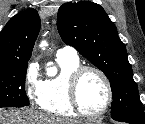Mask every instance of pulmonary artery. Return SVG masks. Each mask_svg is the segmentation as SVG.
<instances>
[{"instance_id":"1","label":"pulmonary artery","mask_w":145,"mask_h":124,"mask_svg":"<svg viewBox=\"0 0 145 124\" xmlns=\"http://www.w3.org/2000/svg\"><path fill=\"white\" fill-rule=\"evenodd\" d=\"M58 57L64 58H78L77 51L73 47L66 46L57 51Z\"/></svg>"}]
</instances>
